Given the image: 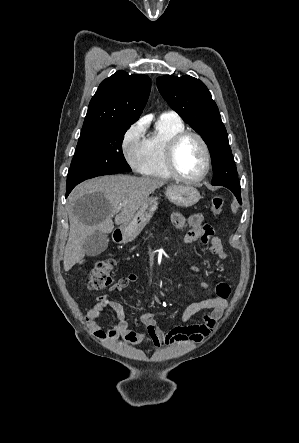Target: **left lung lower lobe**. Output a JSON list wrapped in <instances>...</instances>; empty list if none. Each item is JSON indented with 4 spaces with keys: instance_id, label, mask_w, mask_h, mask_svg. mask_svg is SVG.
I'll return each mask as SVG.
<instances>
[{
    "instance_id": "1",
    "label": "left lung lower lobe",
    "mask_w": 299,
    "mask_h": 443,
    "mask_svg": "<svg viewBox=\"0 0 299 443\" xmlns=\"http://www.w3.org/2000/svg\"><path fill=\"white\" fill-rule=\"evenodd\" d=\"M221 186H224V187L228 188L229 190H231L234 193V195L236 196V198L239 201V203L242 204V201H241V188H234V187L227 186V185H221Z\"/></svg>"
}]
</instances>
